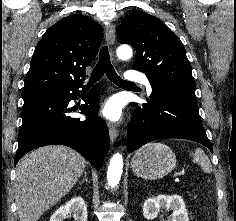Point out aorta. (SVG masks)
I'll return each instance as SVG.
<instances>
[{"instance_id": "1", "label": "aorta", "mask_w": 236, "mask_h": 221, "mask_svg": "<svg viewBox=\"0 0 236 221\" xmlns=\"http://www.w3.org/2000/svg\"><path fill=\"white\" fill-rule=\"evenodd\" d=\"M117 56L126 60L132 57V49L129 45H121L117 49ZM123 171V157L120 153L112 156L108 166L107 181L110 187H115L119 184Z\"/></svg>"}]
</instances>
